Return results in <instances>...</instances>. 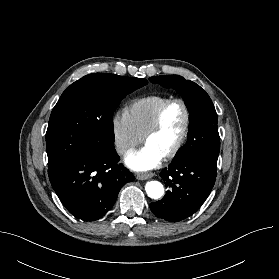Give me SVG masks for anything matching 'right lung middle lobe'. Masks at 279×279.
I'll return each mask as SVG.
<instances>
[{
	"label": "right lung middle lobe",
	"mask_w": 279,
	"mask_h": 279,
	"mask_svg": "<svg viewBox=\"0 0 279 279\" xmlns=\"http://www.w3.org/2000/svg\"><path fill=\"white\" fill-rule=\"evenodd\" d=\"M146 84V79L93 73L67 87L46 132L49 179L77 156L113 148L114 110L127 94Z\"/></svg>",
	"instance_id": "obj_1"
}]
</instances>
